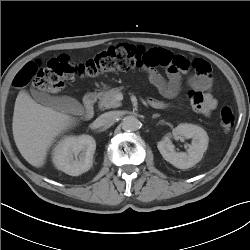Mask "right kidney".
<instances>
[{
	"mask_svg": "<svg viewBox=\"0 0 250 250\" xmlns=\"http://www.w3.org/2000/svg\"><path fill=\"white\" fill-rule=\"evenodd\" d=\"M95 150L96 143L90 135L69 136L53 149L52 161L58 170L79 176L92 167Z\"/></svg>",
	"mask_w": 250,
	"mask_h": 250,
	"instance_id": "obj_1",
	"label": "right kidney"
}]
</instances>
